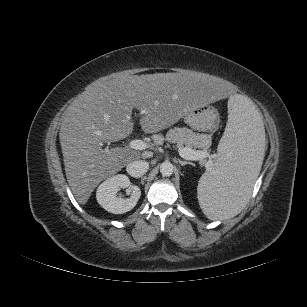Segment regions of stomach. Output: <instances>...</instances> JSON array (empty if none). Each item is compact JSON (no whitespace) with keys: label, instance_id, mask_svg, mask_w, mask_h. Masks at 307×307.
<instances>
[{"label":"stomach","instance_id":"0dacf381","mask_svg":"<svg viewBox=\"0 0 307 307\" xmlns=\"http://www.w3.org/2000/svg\"><path fill=\"white\" fill-rule=\"evenodd\" d=\"M184 122L194 130L214 131L219 124V113L212 106H198L185 114Z\"/></svg>","mask_w":307,"mask_h":307}]
</instances>
